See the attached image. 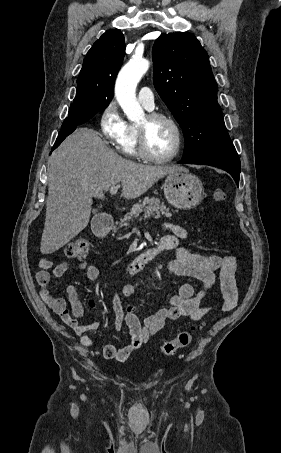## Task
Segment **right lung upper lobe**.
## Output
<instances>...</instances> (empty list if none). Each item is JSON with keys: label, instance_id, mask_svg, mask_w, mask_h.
I'll list each match as a JSON object with an SVG mask.
<instances>
[{"label": "right lung upper lobe", "instance_id": "cb5924a9", "mask_svg": "<svg viewBox=\"0 0 281 453\" xmlns=\"http://www.w3.org/2000/svg\"><path fill=\"white\" fill-rule=\"evenodd\" d=\"M125 39L120 30L106 31L88 51L77 80L71 108L89 105L105 109L113 98V84L123 63Z\"/></svg>", "mask_w": 281, "mask_h": 453}]
</instances>
